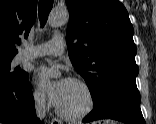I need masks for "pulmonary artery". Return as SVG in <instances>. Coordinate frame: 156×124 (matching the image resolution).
I'll return each mask as SVG.
<instances>
[{"label":"pulmonary artery","mask_w":156,"mask_h":124,"mask_svg":"<svg viewBox=\"0 0 156 124\" xmlns=\"http://www.w3.org/2000/svg\"><path fill=\"white\" fill-rule=\"evenodd\" d=\"M65 42L62 36H55L50 41L37 45L33 48H26L20 55V61L31 60L45 55L59 56L64 53Z\"/></svg>","instance_id":"1"}]
</instances>
